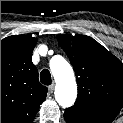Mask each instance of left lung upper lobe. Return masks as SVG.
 Returning <instances> with one entry per match:
<instances>
[{
  "instance_id": "5c2ea615",
  "label": "left lung upper lobe",
  "mask_w": 123,
  "mask_h": 123,
  "mask_svg": "<svg viewBox=\"0 0 123 123\" xmlns=\"http://www.w3.org/2000/svg\"><path fill=\"white\" fill-rule=\"evenodd\" d=\"M58 42L75 70L74 106L114 119L123 105L122 62L88 36L59 34Z\"/></svg>"
}]
</instances>
